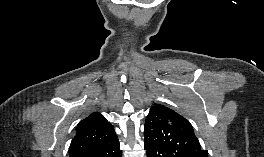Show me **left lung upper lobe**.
I'll return each instance as SVG.
<instances>
[{
  "label": "left lung upper lobe",
  "mask_w": 264,
  "mask_h": 157,
  "mask_svg": "<svg viewBox=\"0 0 264 157\" xmlns=\"http://www.w3.org/2000/svg\"><path fill=\"white\" fill-rule=\"evenodd\" d=\"M144 143L160 157H208L190 122L174 110L154 104L145 121Z\"/></svg>",
  "instance_id": "left-lung-upper-lobe-1"
}]
</instances>
